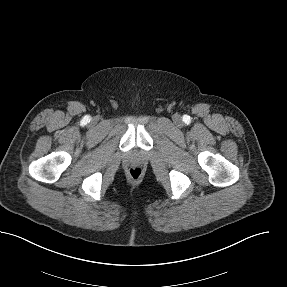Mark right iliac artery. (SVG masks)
Wrapping results in <instances>:
<instances>
[{"label": "right iliac artery", "mask_w": 287, "mask_h": 287, "mask_svg": "<svg viewBox=\"0 0 287 287\" xmlns=\"http://www.w3.org/2000/svg\"><path fill=\"white\" fill-rule=\"evenodd\" d=\"M89 120H90L89 117L85 118V122H88Z\"/></svg>", "instance_id": "82829eb1"}]
</instances>
